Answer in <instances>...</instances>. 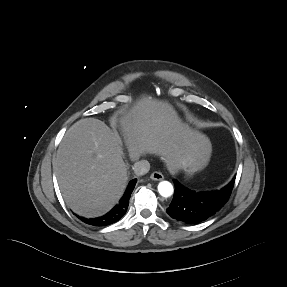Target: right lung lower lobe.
<instances>
[{
  "mask_svg": "<svg viewBox=\"0 0 287 287\" xmlns=\"http://www.w3.org/2000/svg\"><path fill=\"white\" fill-rule=\"evenodd\" d=\"M136 179H133L129 182L128 187L121 198L120 202L118 205H116L110 212L105 214L104 216L93 218V219H88L84 217H79L84 223L93 225V226H107L112 223L117 222L127 211L128 205H129V199L131 196V193L135 187L136 184Z\"/></svg>",
  "mask_w": 287,
  "mask_h": 287,
  "instance_id": "1",
  "label": "right lung lower lobe"
}]
</instances>
